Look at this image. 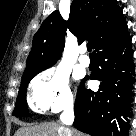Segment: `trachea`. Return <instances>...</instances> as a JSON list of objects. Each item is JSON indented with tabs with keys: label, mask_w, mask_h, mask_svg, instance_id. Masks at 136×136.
I'll list each match as a JSON object with an SVG mask.
<instances>
[{
	"label": "trachea",
	"mask_w": 136,
	"mask_h": 136,
	"mask_svg": "<svg viewBox=\"0 0 136 136\" xmlns=\"http://www.w3.org/2000/svg\"><path fill=\"white\" fill-rule=\"evenodd\" d=\"M87 49L90 52V55H92L91 51H92V46L91 44H87Z\"/></svg>",
	"instance_id": "1"
}]
</instances>
